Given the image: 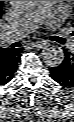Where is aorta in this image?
<instances>
[{
  "label": "aorta",
  "instance_id": "obj_1",
  "mask_svg": "<svg viewBox=\"0 0 74 122\" xmlns=\"http://www.w3.org/2000/svg\"><path fill=\"white\" fill-rule=\"evenodd\" d=\"M40 1H12L13 6L21 12L31 11L35 9ZM43 62L49 67H57L64 60V52L61 47L57 45H47L43 48L42 53Z\"/></svg>",
  "mask_w": 74,
  "mask_h": 122
}]
</instances>
